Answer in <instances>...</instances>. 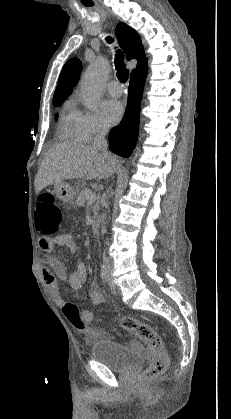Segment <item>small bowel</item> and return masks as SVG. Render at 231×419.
Masks as SVG:
<instances>
[{"label":"small bowel","instance_id":"obj_1","mask_svg":"<svg viewBox=\"0 0 231 419\" xmlns=\"http://www.w3.org/2000/svg\"><path fill=\"white\" fill-rule=\"evenodd\" d=\"M39 247L43 251L42 259L44 265L42 267V274L44 280L48 286L53 301L59 307H62L65 305V300L61 295L59 282H67L68 285L75 291L81 289L88 276L87 267L85 263L79 262L75 269L68 273L63 264L56 257L51 255V252H53L56 247H67L71 252H75L77 250V245L73 237L69 234H59L50 239L41 237L39 239ZM89 297L94 305H100L104 302L103 293L96 283H92L89 289ZM81 313L87 324L94 321V314L91 311L83 310ZM101 335V332L95 333L94 337Z\"/></svg>","mask_w":231,"mask_h":419}]
</instances>
